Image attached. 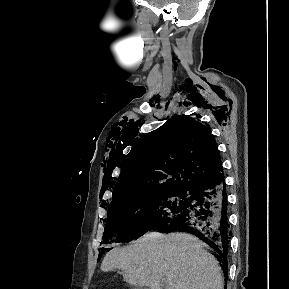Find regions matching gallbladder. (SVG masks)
<instances>
[{"label": "gallbladder", "mask_w": 289, "mask_h": 289, "mask_svg": "<svg viewBox=\"0 0 289 289\" xmlns=\"http://www.w3.org/2000/svg\"><path fill=\"white\" fill-rule=\"evenodd\" d=\"M142 289H148L147 287H144V288H142Z\"/></svg>", "instance_id": "gallbladder-1"}]
</instances>
